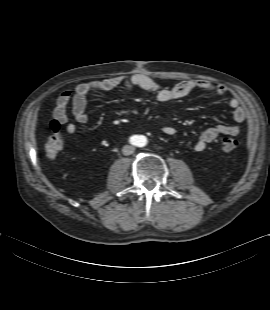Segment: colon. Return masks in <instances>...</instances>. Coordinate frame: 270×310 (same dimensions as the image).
<instances>
[{"instance_id": "obj_1", "label": "colon", "mask_w": 270, "mask_h": 310, "mask_svg": "<svg viewBox=\"0 0 270 310\" xmlns=\"http://www.w3.org/2000/svg\"><path fill=\"white\" fill-rule=\"evenodd\" d=\"M50 135L45 143V153L50 158H55L62 151L64 140L61 133L60 123L53 119L49 124ZM237 141L233 138L226 137L222 140L221 148L224 152H231L236 149Z\"/></svg>"}]
</instances>
